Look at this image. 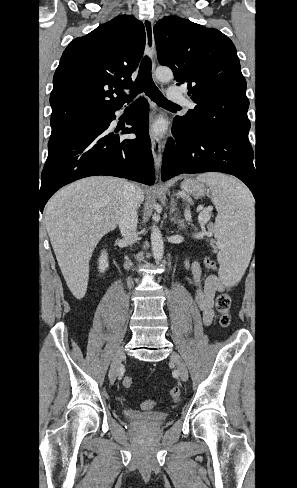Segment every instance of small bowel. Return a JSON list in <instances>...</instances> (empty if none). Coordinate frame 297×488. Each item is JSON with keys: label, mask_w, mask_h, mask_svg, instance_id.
I'll use <instances>...</instances> for the list:
<instances>
[{"label": "small bowel", "mask_w": 297, "mask_h": 488, "mask_svg": "<svg viewBox=\"0 0 297 488\" xmlns=\"http://www.w3.org/2000/svg\"><path fill=\"white\" fill-rule=\"evenodd\" d=\"M185 268L190 273L195 288L194 298L202 315L203 323L209 325L214 317L215 296L224 292L227 286L217 275L212 274L203 278L200 265L196 261H186Z\"/></svg>", "instance_id": "c3829d8e"}]
</instances>
